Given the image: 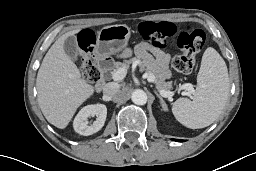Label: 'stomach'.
<instances>
[{"mask_svg": "<svg viewBox=\"0 0 256 171\" xmlns=\"http://www.w3.org/2000/svg\"><path fill=\"white\" fill-rule=\"evenodd\" d=\"M131 29L125 24L103 27L98 32V40L95 47V55L99 59L116 55L126 49Z\"/></svg>", "mask_w": 256, "mask_h": 171, "instance_id": "obj_1", "label": "stomach"}]
</instances>
